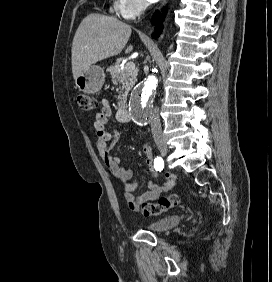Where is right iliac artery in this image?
<instances>
[{"instance_id": "82829eb1", "label": "right iliac artery", "mask_w": 272, "mask_h": 282, "mask_svg": "<svg viewBox=\"0 0 272 282\" xmlns=\"http://www.w3.org/2000/svg\"><path fill=\"white\" fill-rule=\"evenodd\" d=\"M154 168L156 169V171H161L164 168V161L161 157L155 158Z\"/></svg>"}]
</instances>
